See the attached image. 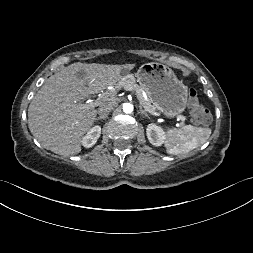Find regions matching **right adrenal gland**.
Returning <instances> with one entry per match:
<instances>
[{"label":"right adrenal gland","mask_w":253,"mask_h":253,"mask_svg":"<svg viewBox=\"0 0 253 253\" xmlns=\"http://www.w3.org/2000/svg\"><path fill=\"white\" fill-rule=\"evenodd\" d=\"M99 119H107V116H99V117H97L95 120L97 121V120H99Z\"/></svg>","instance_id":"obj_1"}]
</instances>
